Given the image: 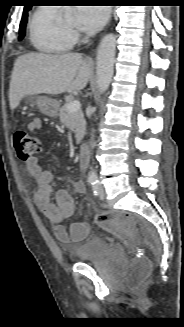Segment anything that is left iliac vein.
Listing matches in <instances>:
<instances>
[{"mask_svg":"<svg viewBox=\"0 0 184 327\" xmlns=\"http://www.w3.org/2000/svg\"><path fill=\"white\" fill-rule=\"evenodd\" d=\"M98 196L100 199H104L105 198V192L104 189L102 187V185H98Z\"/></svg>","mask_w":184,"mask_h":327,"instance_id":"1","label":"left iliac vein"}]
</instances>
